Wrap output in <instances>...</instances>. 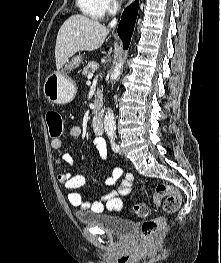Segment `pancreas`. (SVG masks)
<instances>
[{"mask_svg": "<svg viewBox=\"0 0 221 263\" xmlns=\"http://www.w3.org/2000/svg\"><path fill=\"white\" fill-rule=\"evenodd\" d=\"M99 65L97 62H90L88 63V65L86 67H84L83 71H82V75L88 77V75L90 73H93L94 71H96L98 69ZM102 104V92L101 90L97 91V96L95 99V105H96V109L94 110V114H97L98 109L100 108Z\"/></svg>", "mask_w": 221, "mask_h": 263, "instance_id": "1", "label": "pancreas"}]
</instances>
